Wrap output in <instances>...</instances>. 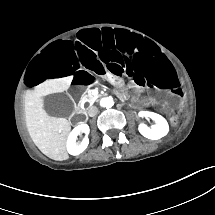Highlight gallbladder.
Returning <instances> with one entry per match:
<instances>
[{
	"mask_svg": "<svg viewBox=\"0 0 215 215\" xmlns=\"http://www.w3.org/2000/svg\"><path fill=\"white\" fill-rule=\"evenodd\" d=\"M44 105L49 115L69 117L75 110L74 102L66 94L56 93L44 98Z\"/></svg>",
	"mask_w": 215,
	"mask_h": 215,
	"instance_id": "gallbladder-1",
	"label": "gallbladder"
}]
</instances>
